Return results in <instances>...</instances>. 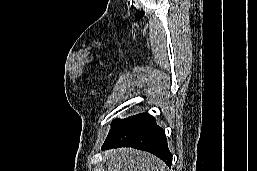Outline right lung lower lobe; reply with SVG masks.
Segmentation results:
<instances>
[{"label": "right lung lower lobe", "instance_id": "98d812e1", "mask_svg": "<svg viewBox=\"0 0 257 171\" xmlns=\"http://www.w3.org/2000/svg\"><path fill=\"white\" fill-rule=\"evenodd\" d=\"M132 147L148 151L162 159L169 167L172 155L165 132L149 113H141L124 120H114L102 149Z\"/></svg>", "mask_w": 257, "mask_h": 171}]
</instances>
